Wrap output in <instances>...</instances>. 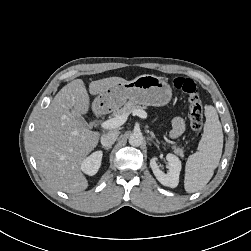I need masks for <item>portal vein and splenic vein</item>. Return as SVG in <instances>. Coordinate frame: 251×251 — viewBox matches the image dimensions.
<instances>
[{
	"mask_svg": "<svg viewBox=\"0 0 251 251\" xmlns=\"http://www.w3.org/2000/svg\"><path fill=\"white\" fill-rule=\"evenodd\" d=\"M132 113L133 115H137L138 117L142 119L147 118V113L144 110H135ZM128 115L129 114H123V115H119L114 118L108 119L101 123V127L106 130L118 128L126 122Z\"/></svg>",
	"mask_w": 251,
	"mask_h": 251,
	"instance_id": "18ae733b",
	"label": "portal vein and splenic vein"
}]
</instances>
